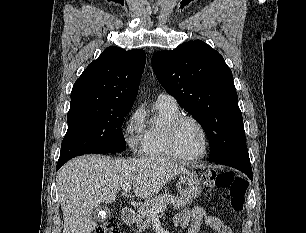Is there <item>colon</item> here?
<instances>
[{"label": "colon", "instance_id": "5ec220e1", "mask_svg": "<svg viewBox=\"0 0 306 233\" xmlns=\"http://www.w3.org/2000/svg\"><path fill=\"white\" fill-rule=\"evenodd\" d=\"M203 182L207 187L227 188L230 196V207L237 213L243 212L249 187L245 178L229 171L208 170L203 174ZM96 233H120L118 219L111 216L101 224Z\"/></svg>", "mask_w": 306, "mask_h": 233}]
</instances>
